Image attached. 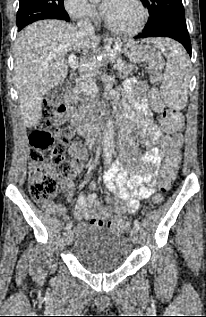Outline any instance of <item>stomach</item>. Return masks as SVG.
Here are the masks:
<instances>
[{
	"instance_id": "1",
	"label": "stomach",
	"mask_w": 206,
	"mask_h": 317,
	"mask_svg": "<svg viewBox=\"0 0 206 317\" xmlns=\"http://www.w3.org/2000/svg\"><path fill=\"white\" fill-rule=\"evenodd\" d=\"M124 51L128 57V61L132 62V66H142L143 62L149 60L153 55V49L144 43L128 42L124 45ZM83 65L88 67H80V74H91L92 69L98 65L97 59H84Z\"/></svg>"
}]
</instances>
